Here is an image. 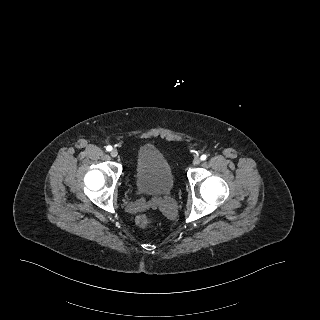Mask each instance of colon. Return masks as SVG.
Returning <instances> with one entry per match:
<instances>
[{"label":"colon","mask_w":320,"mask_h":320,"mask_svg":"<svg viewBox=\"0 0 320 320\" xmlns=\"http://www.w3.org/2000/svg\"><path fill=\"white\" fill-rule=\"evenodd\" d=\"M136 224L142 228H147L153 225V220L147 215H139L136 217Z\"/></svg>","instance_id":"obj_1"}]
</instances>
